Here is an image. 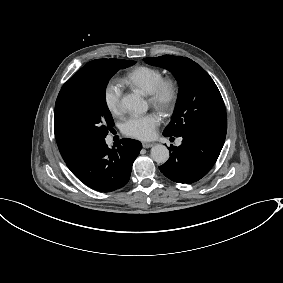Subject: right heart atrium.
I'll return each mask as SVG.
<instances>
[{"label":"right heart atrium","mask_w":283,"mask_h":283,"mask_svg":"<svg viewBox=\"0 0 283 283\" xmlns=\"http://www.w3.org/2000/svg\"><path fill=\"white\" fill-rule=\"evenodd\" d=\"M124 88L117 77L109 78L103 85L102 97L107 110L111 114H119L122 110Z\"/></svg>","instance_id":"d8ad5b80"}]
</instances>
